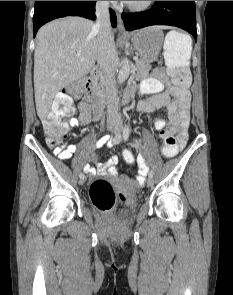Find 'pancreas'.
<instances>
[{
	"label": "pancreas",
	"mask_w": 233,
	"mask_h": 295,
	"mask_svg": "<svg viewBox=\"0 0 233 295\" xmlns=\"http://www.w3.org/2000/svg\"><path fill=\"white\" fill-rule=\"evenodd\" d=\"M151 69V65L149 63H146L143 60H137L136 61V73L135 77L138 80L144 79L149 76V71ZM94 87L92 88L93 93H101L103 92V79L100 76V80L98 82V79H95L93 82Z\"/></svg>",
	"instance_id": "obj_1"
}]
</instances>
